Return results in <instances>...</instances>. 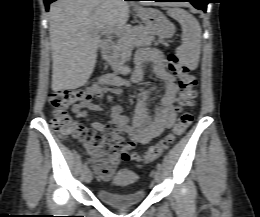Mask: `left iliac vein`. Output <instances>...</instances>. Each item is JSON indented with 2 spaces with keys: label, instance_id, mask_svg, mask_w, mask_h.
<instances>
[{
  "label": "left iliac vein",
  "instance_id": "left-iliac-vein-1",
  "mask_svg": "<svg viewBox=\"0 0 260 217\" xmlns=\"http://www.w3.org/2000/svg\"><path fill=\"white\" fill-rule=\"evenodd\" d=\"M153 177H154V181L156 183H159L161 181V172L160 170H156L153 174Z\"/></svg>",
  "mask_w": 260,
  "mask_h": 217
}]
</instances>
